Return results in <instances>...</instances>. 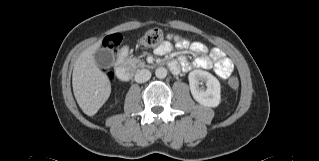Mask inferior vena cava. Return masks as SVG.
I'll return each mask as SVG.
<instances>
[{"label": "inferior vena cava", "instance_id": "1", "mask_svg": "<svg viewBox=\"0 0 319 161\" xmlns=\"http://www.w3.org/2000/svg\"><path fill=\"white\" fill-rule=\"evenodd\" d=\"M151 78V72L147 69L138 70L135 74V81L137 83H144Z\"/></svg>", "mask_w": 319, "mask_h": 161}]
</instances>
